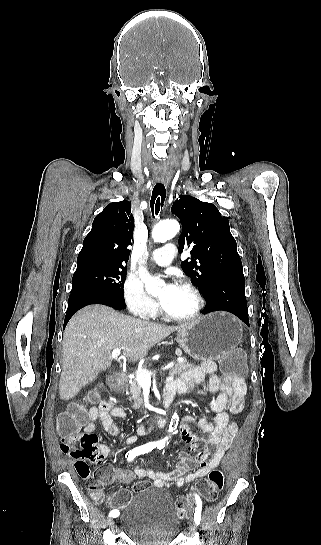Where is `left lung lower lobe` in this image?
<instances>
[{
	"mask_svg": "<svg viewBox=\"0 0 321 545\" xmlns=\"http://www.w3.org/2000/svg\"><path fill=\"white\" fill-rule=\"evenodd\" d=\"M203 314L223 310L239 317L249 326L243 271L230 272L215 278L206 293Z\"/></svg>",
	"mask_w": 321,
	"mask_h": 545,
	"instance_id": "0a47b994",
	"label": "left lung lower lobe"
}]
</instances>
